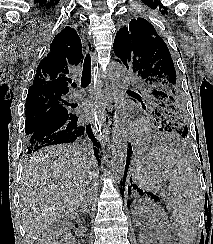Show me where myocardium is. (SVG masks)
Returning <instances> with one entry per match:
<instances>
[{
	"instance_id": "1",
	"label": "myocardium",
	"mask_w": 213,
	"mask_h": 244,
	"mask_svg": "<svg viewBox=\"0 0 213 244\" xmlns=\"http://www.w3.org/2000/svg\"><path fill=\"white\" fill-rule=\"evenodd\" d=\"M149 131L150 123L143 118H139L130 125L129 134L132 137H142L146 135Z\"/></svg>"
}]
</instances>
